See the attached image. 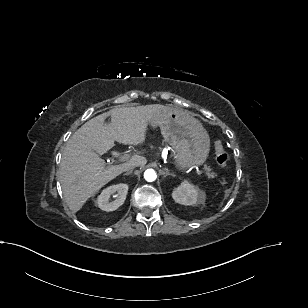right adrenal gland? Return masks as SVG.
<instances>
[{
  "mask_svg": "<svg viewBox=\"0 0 308 308\" xmlns=\"http://www.w3.org/2000/svg\"><path fill=\"white\" fill-rule=\"evenodd\" d=\"M131 173H132V171H127L124 175L127 176V175H129Z\"/></svg>",
  "mask_w": 308,
  "mask_h": 308,
  "instance_id": "right-adrenal-gland-1",
  "label": "right adrenal gland"
}]
</instances>
